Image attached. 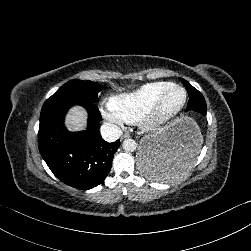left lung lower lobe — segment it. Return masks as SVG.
I'll use <instances>...</instances> for the list:
<instances>
[{
	"label": "left lung lower lobe",
	"mask_w": 251,
	"mask_h": 251,
	"mask_svg": "<svg viewBox=\"0 0 251 251\" xmlns=\"http://www.w3.org/2000/svg\"><path fill=\"white\" fill-rule=\"evenodd\" d=\"M187 111L206 115V104L189 98ZM192 144L189 140L181 142H150L141 151L139 169L152 181L165 180L179 172L189 161Z\"/></svg>",
	"instance_id": "obj_1"
}]
</instances>
